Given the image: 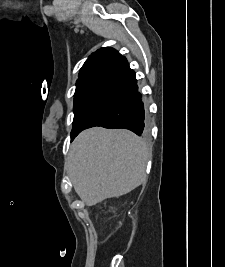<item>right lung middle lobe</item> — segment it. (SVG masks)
Segmentation results:
<instances>
[{"instance_id":"right-lung-middle-lobe-1","label":"right lung middle lobe","mask_w":225,"mask_h":267,"mask_svg":"<svg viewBox=\"0 0 225 267\" xmlns=\"http://www.w3.org/2000/svg\"><path fill=\"white\" fill-rule=\"evenodd\" d=\"M97 78H89L79 82H76V90L74 94V121L76 119L77 113L80 109V106L90 89V87L96 82ZM74 123V122H73Z\"/></svg>"}]
</instances>
